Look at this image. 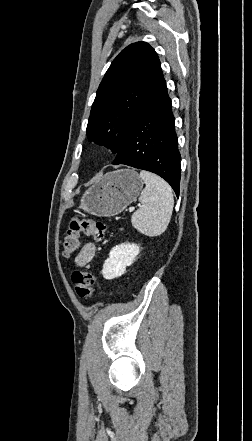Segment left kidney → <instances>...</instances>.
Segmentation results:
<instances>
[{
    "label": "left kidney",
    "mask_w": 252,
    "mask_h": 441,
    "mask_svg": "<svg viewBox=\"0 0 252 441\" xmlns=\"http://www.w3.org/2000/svg\"><path fill=\"white\" fill-rule=\"evenodd\" d=\"M139 252V246L134 243H123L113 247L109 257L104 262L102 269L103 277L106 280H112L123 275L126 267L134 262Z\"/></svg>",
    "instance_id": "1"
}]
</instances>
